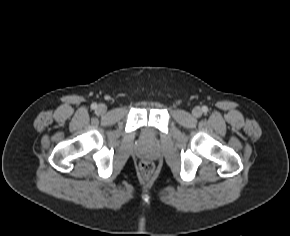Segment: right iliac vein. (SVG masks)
Segmentation results:
<instances>
[{
  "instance_id": "63e3f726",
  "label": "right iliac vein",
  "mask_w": 290,
  "mask_h": 236,
  "mask_svg": "<svg viewBox=\"0 0 290 236\" xmlns=\"http://www.w3.org/2000/svg\"><path fill=\"white\" fill-rule=\"evenodd\" d=\"M107 111V107L105 104H99L97 107V112L103 114Z\"/></svg>"
}]
</instances>
